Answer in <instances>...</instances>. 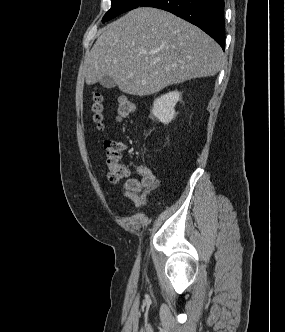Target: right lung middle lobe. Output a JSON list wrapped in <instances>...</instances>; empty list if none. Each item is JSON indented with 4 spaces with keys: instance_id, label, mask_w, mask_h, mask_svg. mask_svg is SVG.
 Here are the masks:
<instances>
[{
    "instance_id": "obj_1",
    "label": "right lung middle lobe",
    "mask_w": 285,
    "mask_h": 332,
    "mask_svg": "<svg viewBox=\"0 0 285 332\" xmlns=\"http://www.w3.org/2000/svg\"><path fill=\"white\" fill-rule=\"evenodd\" d=\"M146 0H111V8L110 10L104 15L102 22H106L123 12L132 10L137 8Z\"/></svg>"
}]
</instances>
